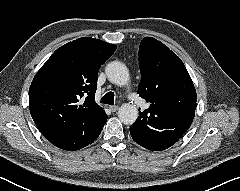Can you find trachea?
<instances>
[{
  "instance_id": "obj_1",
  "label": "trachea",
  "mask_w": 240,
  "mask_h": 191,
  "mask_svg": "<svg viewBox=\"0 0 240 191\" xmlns=\"http://www.w3.org/2000/svg\"><path fill=\"white\" fill-rule=\"evenodd\" d=\"M101 103L103 104H108V105H113L114 104V93L113 92H108L106 93L102 99Z\"/></svg>"
}]
</instances>
